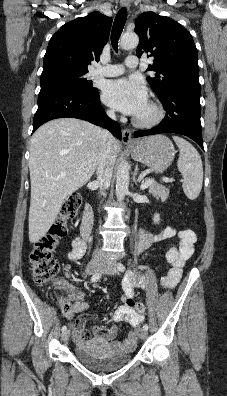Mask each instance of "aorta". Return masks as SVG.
Wrapping results in <instances>:
<instances>
[{
    "label": "aorta",
    "mask_w": 227,
    "mask_h": 396,
    "mask_svg": "<svg viewBox=\"0 0 227 396\" xmlns=\"http://www.w3.org/2000/svg\"><path fill=\"white\" fill-rule=\"evenodd\" d=\"M122 49L129 50L138 46L139 37L135 33H124L121 37ZM129 166L123 161L120 163L116 175V196L118 201H122L128 193L129 187Z\"/></svg>",
    "instance_id": "1"
}]
</instances>
